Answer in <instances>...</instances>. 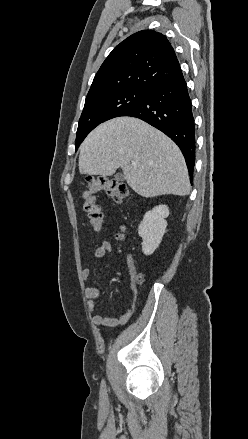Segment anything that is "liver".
<instances>
[{
	"instance_id": "obj_1",
	"label": "liver",
	"mask_w": 248,
	"mask_h": 439,
	"mask_svg": "<svg viewBox=\"0 0 248 439\" xmlns=\"http://www.w3.org/2000/svg\"><path fill=\"white\" fill-rule=\"evenodd\" d=\"M118 168L142 197L190 193L188 170L178 146L140 119L117 117L106 121L80 146L81 174L111 176Z\"/></svg>"
}]
</instances>
